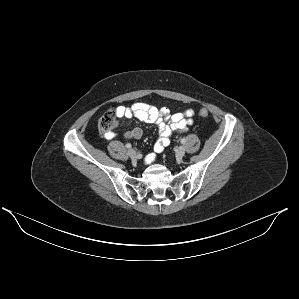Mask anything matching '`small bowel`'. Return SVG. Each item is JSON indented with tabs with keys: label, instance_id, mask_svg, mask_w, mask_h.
Returning a JSON list of instances; mask_svg holds the SVG:
<instances>
[{
	"label": "small bowel",
	"instance_id": "small-bowel-1",
	"mask_svg": "<svg viewBox=\"0 0 299 299\" xmlns=\"http://www.w3.org/2000/svg\"><path fill=\"white\" fill-rule=\"evenodd\" d=\"M115 113L118 117L131 118L135 117L144 122L154 123L157 126L159 138L154 144L153 152L149 154L145 161L150 164L154 162L158 155L162 154L170 145L172 136L176 133L186 131L191 124L192 110L174 113L171 116L167 108H157L146 103H136L132 106H117ZM142 129L134 127L124 133L127 139H140L142 137ZM116 136L114 132L106 133L107 139Z\"/></svg>",
	"mask_w": 299,
	"mask_h": 299
}]
</instances>
